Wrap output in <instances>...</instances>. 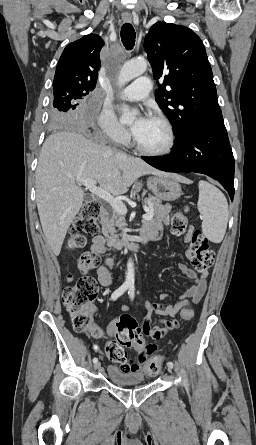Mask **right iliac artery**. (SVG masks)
Returning a JSON list of instances; mask_svg holds the SVG:
<instances>
[{"label":"right iliac artery","instance_id":"right-iliac-artery-1","mask_svg":"<svg viewBox=\"0 0 256 445\" xmlns=\"http://www.w3.org/2000/svg\"><path fill=\"white\" fill-rule=\"evenodd\" d=\"M129 285L127 284H123L121 285L117 290H115L112 295H111V299L113 301H115L118 297H120L122 294H124V292H126L129 289ZM98 361V359L95 357L93 358V363H96Z\"/></svg>","mask_w":256,"mask_h":445}]
</instances>
